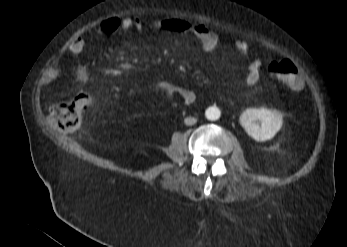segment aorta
<instances>
[{
    "label": "aorta",
    "instance_id": "1",
    "mask_svg": "<svg viewBox=\"0 0 347 247\" xmlns=\"http://www.w3.org/2000/svg\"><path fill=\"white\" fill-rule=\"evenodd\" d=\"M220 117V111L218 109L215 108H209L206 111V118L208 120H217Z\"/></svg>",
    "mask_w": 347,
    "mask_h": 247
}]
</instances>
